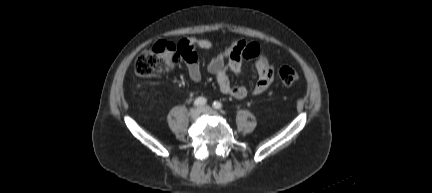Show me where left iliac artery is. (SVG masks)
Masks as SVG:
<instances>
[{
	"mask_svg": "<svg viewBox=\"0 0 432 193\" xmlns=\"http://www.w3.org/2000/svg\"><path fill=\"white\" fill-rule=\"evenodd\" d=\"M213 107H214L215 109H221V108L223 107V105H222V103H220V102H218V101H215V102L213 103Z\"/></svg>",
	"mask_w": 432,
	"mask_h": 193,
	"instance_id": "44dca946",
	"label": "left iliac artery"
}]
</instances>
